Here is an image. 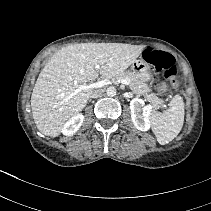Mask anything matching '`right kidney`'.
<instances>
[{
	"mask_svg": "<svg viewBox=\"0 0 211 211\" xmlns=\"http://www.w3.org/2000/svg\"><path fill=\"white\" fill-rule=\"evenodd\" d=\"M84 121V116L82 114H77L69 119L62 128V133L66 136L75 134L81 127Z\"/></svg>",
	"mask_w": 211,
	"mask_h": 211,
	"instance_id": "ca27d5eb",
	"label": "right kidney"
}]
</instances>
